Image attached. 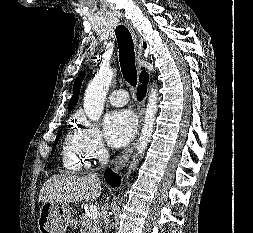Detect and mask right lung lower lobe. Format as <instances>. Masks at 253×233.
I'll return each instance as SVG.
<instances>
[{"mask_svg":"<svg viewBox=\"0 0 253 233\" xmlns=\"http://www.w3.org/2000/svg\"><path fill=\"white\" fill-rule=\"evenodd\" d=\"M148 74L146 72H142L139 78V81L142 82L143 84L139 86L137 90V97L138 100H142L145 96L146 93V84L148 83ZM106 182L113 186V187H118L121 182V178L112 172L110 169H107L104 174Z\"/></svg>","mask_w":253,"mask_h":233,"instance_id":"1","label":"right lung lower lobe"}]
</instances>
